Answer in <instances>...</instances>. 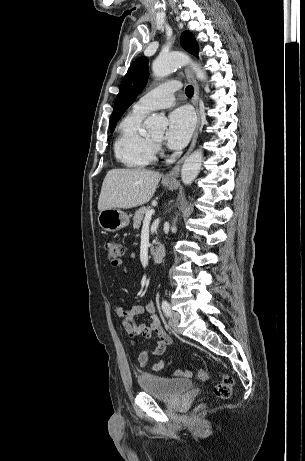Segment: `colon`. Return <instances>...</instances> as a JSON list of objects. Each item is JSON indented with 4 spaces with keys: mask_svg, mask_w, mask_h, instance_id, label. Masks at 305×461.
<instances>
[{
    "mask_svg": "<svg viewBox=\"0 0 305 461\" xmlns=\"http://www.w3.org/2000/svg\"><path fill=\"white\" fill-rule=\"evenodd\" d=\"M104 250L107 254L109 261L116 264L124 255V247L122 243L117 240L108 239L104 242ZM198 376L201 380L208 379V372L206 369H199ZM220 381L214 386V395L219 399H227L231 395L232 387L234 384L233 378L226 374H219Z\"/></svg>",
    "mask_w": 305,
    "mask_h": 461,
    "instance_id": "5ec220e1",
    "label": "colon"
}]
</instances>
